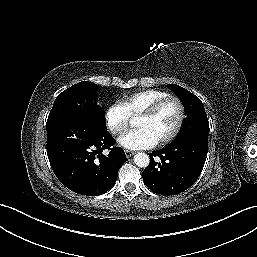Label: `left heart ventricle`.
Wrapping results in <instances>:
<instances>
[{
    "mask_svg": "<svg viewBox=\"0 0 257 257\" xmlns=\"http://www.w3.org/2000/svg\"><path fill=\"white\" fill-rule=\"evenodd\" d=\"M178 107L175 102L167 103L153 117H139L136 125L148 130L158 141L168 135L176 125Z\"/></svg>",
    "mask_w": 257,
    "mask_h": 257,
    "instance_id": "1",
    "label": "left heart ventricle"
}]
</instances>
